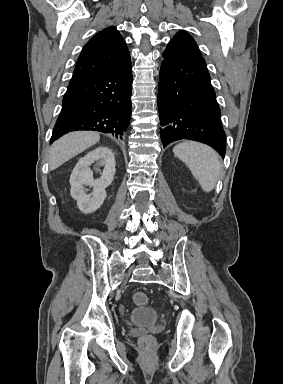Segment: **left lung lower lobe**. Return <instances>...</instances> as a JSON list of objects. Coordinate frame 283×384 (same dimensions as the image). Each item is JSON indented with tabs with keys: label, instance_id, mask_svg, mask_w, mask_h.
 <instances>
[{
	"label": "left lung lower lobe",
	"instance_id": "obj_1",
	"mask_svg": "<svg viewBox=\"0 0 283 384\" xmlns=\"http://www.w3.org/2000/svg\"><path fill=\"white\" fill-rule=\"evenodd\" d=\"M163 58L158 92L163 146L190 139L210 145L224 157L226 136L204 58L172 42Z\"/></svg>",
	"mask_w": 283,
	"mask_h": 384
}]
</instances>
